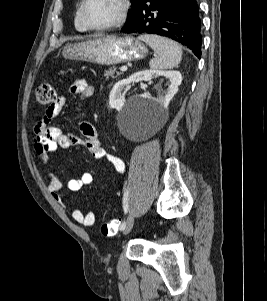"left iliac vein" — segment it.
I'll return each mask as SVG.
<instances>
[{
    "label": "left iliac vein",
    "instance_id": "4c4485c4",
    "mask_svg": "<svg viewBox=\"0 0 267 301\" xmlns=\"http://www.w3.org/2000/svg\"><path fill=\"white\" fill-rule=\"evenodd\" d=\"M133 225H134V216L133 214L129 216V218L127 219V222L125 224V227L124 229L122 230L124 234H128L132 228H133Z\"/></svg>",
    "mask_w": 267,
    "mask_h": 301
}]
</instances>
